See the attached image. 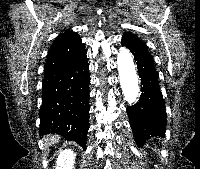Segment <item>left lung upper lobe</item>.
<instances>
[{"instance_id": "1", "label": "left lung upper lobe", "mask_w": 200, "mask_h": 169, "mask_svg": "<svg viewBox=\"0 0 200 169\" xmlns=\"http://www.w3.org/2000/svg\"><path fill=\"white\" fill-rule=\"evenodd\" d=\"M122 39L128 42L133 50L137 52L149 53L146 44L143 41L139 40L136 35L127 32L124 34Z\"/></svg>"}]
</instances>
